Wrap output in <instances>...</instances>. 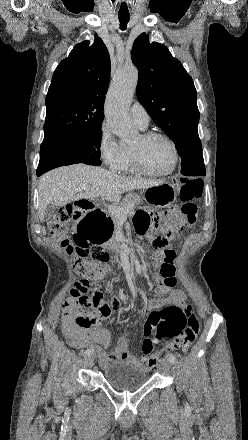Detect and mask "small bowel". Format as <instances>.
<instances>
[{"label": "small bowel", "mask_w": 248, "mask_h": 440, "mask_svg": "<svg viewBox=\"0 0 248 440\" xmlns=\"http://www.w3.org/2000/svg\"><path fill=\"white\" fill-rule=\"evenodd\" d=\"M156 220V219H155ZM151 214L145 210H141L135 217V227L139 234H143L148 229L155 227ZM151 269L154 270L152 280L147 282L149 287L154 288L153 293H146L144 290L137 287L141 294L144 303L149 310L161 309L168 305H178L182 308L188 309L186 304V295L183 290L175 288L178 283L177 266L172 257H159L151 261ZM109 279L107 276L104 278ZM101 296L100 303L95 307V311L82 310L74 302L69 300L62 307L61 311V327L65 337L68 339V344L76 349L89 348L97 352L98 360L102 368L108 367L110 364L117 361H126L138 367H150L146 358H139L132 355L128 351L129 337L122 335L115 347V349L108 353L106 348L110 343V334L105 329L96 328L103 320L109 318L118 308L119 299L113 297L110 301H105L104 296L98 288ZM166 297H158L157 295H165ZM121 298H125L122 296ZM84 314L90 319V324L86 327H81L76 324L74 318L77 314Z\"/></svg>", "instance_id": "small-bowel-1"}]
</instances>
